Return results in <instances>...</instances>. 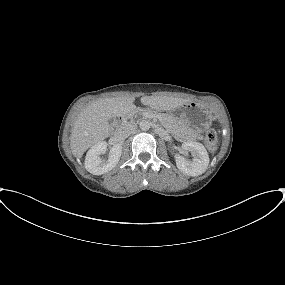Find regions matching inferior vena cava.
<instances>
[{
  "label": "inferior vena cava",
  "instance_id": "obj_1",
  "mask_svg": "<svg viewBox=\"0 0 285 285\" xmlns=\"http://www.w3.org/2000/svg\"><path fill=\"white\" fill-rule=\"evenodd\" d=\"M136 130V125L134 123H127L123 126H121L117 130V134L121 138H127L130 136L134 131Z\"/></svg>",
  "mask_w": 285,
  "mask_h": 285
}]
</instances>
